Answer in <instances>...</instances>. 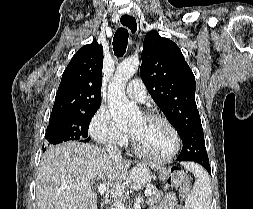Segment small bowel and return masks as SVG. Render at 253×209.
<instances>
[{
    "label": "small bowel",
    "instance_id": "1",
    "mask_svg": "<svg viewBox=\"0 0 253 209\" xmlns=\"http://www.w3.org/2000/svg\"><path fill=\"white\" fill-rule=\"evenodd\" d=\"M153 209H182L177 206V199L173 193H169L165 196L161 203H159Z\"/></svg>",
    "mask_w": 253,
    "mask_h": 209
}]
</instances>
